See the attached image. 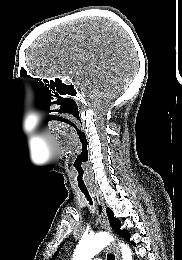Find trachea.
Listing matches in <instances>:
<instances>
[{"label": "trachea", "mask_w": 182, "mask_h": 260, "mask_svg": "<svg viewBox=\"0 0 182 260\" xmlns=\"http://www.w3.org/2000/svg\"><path fill=\"white\" fill-rule=\"evenodd\" d=\"M81 192L85 195L86 199L89 201V203L92 205V200L89 195V192L86 187H80ZM107 260H115V256L113 254H107Z\"/></svg>", "instance_id": "3493384b"}]
</instances>
